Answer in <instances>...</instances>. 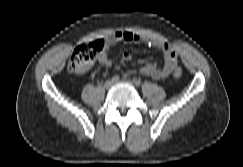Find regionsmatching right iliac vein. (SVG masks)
<instances>
[{
	"label": "right iliac vein",
	"mask_w": 243,
	"mask_h": 167,
	"mask_svg": "<svg viewBox=\"0 0 243 167\" xmlns=\"http://www.w3.org/2000/svg\"><path fill=\"white\" fill-rule=\"evenodd\" d=\"M112 86H113V81H111V80H107V81L105 82V84H104V87H105L106 89H110Z\"/></svg>",
	"instance_id": "63e3f726"
}]
</instances>
